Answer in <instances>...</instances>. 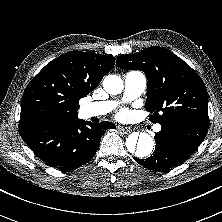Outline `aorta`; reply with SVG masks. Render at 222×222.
<instances>
[{
	"label": "aorta",
	"mask_w": 222,
	"mask_h": 222,
	"mask_svg": "<svg viewBox=\"0 0 222 222\" xmlns=\"http://www.w3.org/2000/svg\"><path fill=\"white\" fill-rule=\"evenodd\" d=\"M104 90L111 94L117 95L123 90V80L117 75H108L103 81ZM127 151L138 158L148 157L154 148L153 138L147 133H132L126 139Z\"/></svg>",
	"instance_id": "1"
}]
</instances>
